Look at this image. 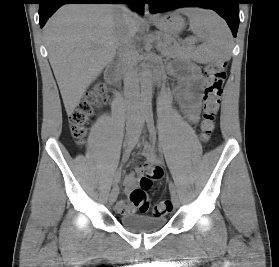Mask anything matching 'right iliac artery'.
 <instances>
[{
	"mask_svg": "<svg viewBox=\"0 0 279 267\" xmlns=\"http://www.w3.org/2000/svg\"><path fill=\"white\" fill-rule=\"evenodd\" d=\"M143 124H144V116H141L138 121L137 129H136L135 133L132 135V137L129 140H127L126 149H125V152L122 157L123 162L127 161L131 151L133 150L134 146L137 144L138 139L141 134V129H142ZM120 169L121 168H119L115 174L114 185H116L120 181Z\"/></svg>",
	"mask_w": 279,
	"mask_h": 267,
	"instance_id": "right-iliac-artery-1",
	"label": "right iliac artery"
}]
</instances>
